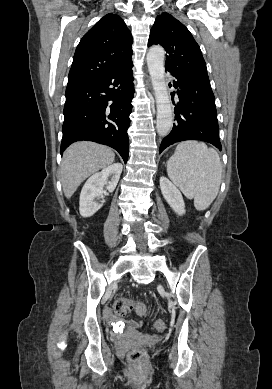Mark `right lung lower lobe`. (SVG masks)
I'll return each mask as SVG.
<instances>
[{
    "instance_id": "obj_1",
    "label": "right lung lower lobe",
    "mask_w": 272,
    "mask_h": 389,
    "mask_svg": "<svg viewBox=\"0 0 272 389\" xmlns=\"http://www.w3.org/2000/svg\"><path fill=\"white\" fill-rule=\"evenodd\" d=\"M132 60L104 73L68 80L61 153L89 140L116 149L127 162V130L134 94Z\"/></svg>"
}]
</instances>
